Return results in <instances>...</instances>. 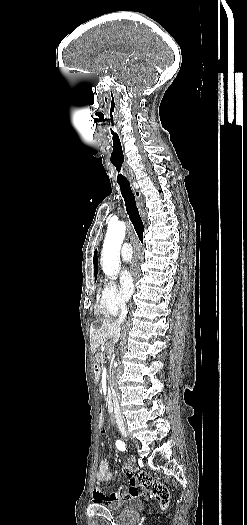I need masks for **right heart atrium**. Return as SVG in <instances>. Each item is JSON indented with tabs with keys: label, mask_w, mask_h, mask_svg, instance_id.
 Listing matches in <instances>:
<instances>
[{
	"label": "right heart atrium",
	"mask_w": 247,
	"mask_h": 525,
	"mask_svg": "<svg viewBox=\"0 0 247 525\" xmlns=\"http://www.w3.org/2000/svg\"><path fill=\"white\" fill-rule=\"evenodd\" d=\"M125 302L126 298L119 291L117 284L111 279L106 280L100 303L109 311L118 313L125 307Z\"/></svg>",
	"instance_id": "d8ad5b80"
}]
</instances>
